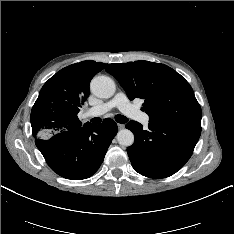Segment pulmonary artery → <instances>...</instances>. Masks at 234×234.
<instances>
[{
    "instance_id": "obj_1",
    "label": "pulmonary artery",
    "mask_w": 234,
    "mask_h": 234,
    "mask_svg": "<svg viewBox=\"0 0 234 234\" xmlns=\"http://www.w3.org/2000/svg\"><path fill=\"white\" fill-rule=\"evenodd\" d=\"M114 108L119 109L128 117H131L144 125H147L149 123V116L146 113L141 112L138 108L131 104L128 97L123 92H118L111 100L101 105L90 108L87 111V115H102Z\"/></svg>"
}]
</instances>
